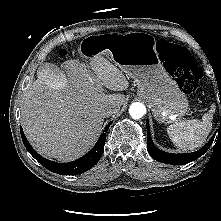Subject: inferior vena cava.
I'll return each instance as SVG.
<instances>
[{
  "label": "inferior vena cava",
  "mask_w": 221,
  "mask_h": 221,
  "mask_svg": "<svg viewBox=\"0 0 221 221\" xmlns=\"http://www.w3.org/2000/svg\"><path fill=\"white\" fill-rule=\"evenodd\" d=\"M120 110V106L118 105H109L106 106L102 112L104 117H109L116 114Z\"/></svg>",
  "instance_id": "602c4592"
}]
</instances>
